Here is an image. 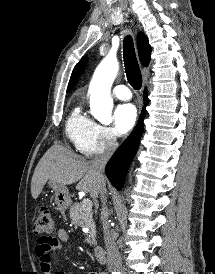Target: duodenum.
Here are the masks:
<instances>
[{
    "instance_id": "obj_1",
    "label": "duodenum",
    "mask_w": 215,
    "mask_h": 274,
    "mask_svg": "<svg viewBox=\"0 0 215 274\" xmlns=\"http://www.w3.org/2000/svg\"><path fill=\"white\" fill-rule=\"evenodd\" d=\"M95 257H96L97 261L101 264L106 262V252L103 247L96 246Z\"/></svg>"
}]
</instances>
